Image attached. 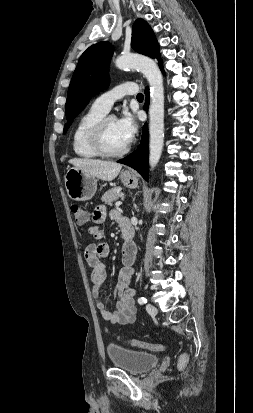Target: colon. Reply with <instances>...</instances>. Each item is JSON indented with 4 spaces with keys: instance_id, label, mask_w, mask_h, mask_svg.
I'll return each instance as SVG.
<instances>
[{
    "instance_id": "1",
    "label": "colon",
    "mask_w": 253,
    "mask_h": 413,
    "mask_svg": "<svg viewBox=\"0 0 253 413\" xmlns=\"http://www.w3.org/2000/svg\"><path fill=\"white\" fill-rule=\"evenodd\" d=\"M70 212L75 222L78 225H84L87 222V214L80 206L75 205V204L72 205L70 207ZM125 342L133 347L147 349L150 351L162 352L165 350V346L162 344H152V343L139 341L136 339H129V340H126ZM187 363H188V355L183 354L179 359L178 366L180 368H184L187 365Z\"/></svg>"
}]
</instances>
